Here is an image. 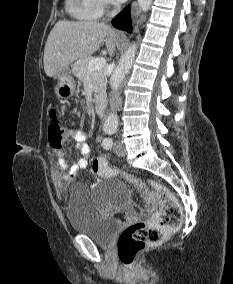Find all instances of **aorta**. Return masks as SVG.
Returning <instances> with one entry per match:
<instances>
[{"label": "aorta", "instance_id": "762f6f07", "mask_svg": "<svg viewBox=\"0 0 233 284\" xmlns=\"http://www.w3.org/2000/svg\"><path fill=\"white\" fill-rule=\"evenodd\" d=\"M153 0H138L139 7L143 12H146L149 10ZM136 53V44L132 43L129 48L125 51L124 55L121 57L117 67L113 71L111 77H110V86L114 93H117L119 90V87L125 77V75L128 73V71L131 69L134 58ZM106 129H116L118 126V116L116 113L112 112L108 115L105 124Z\"/></svg>", "mask_w": 233, "mask_h": 284}]
</instances>
